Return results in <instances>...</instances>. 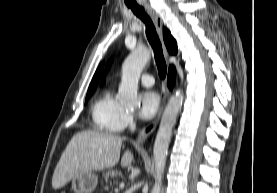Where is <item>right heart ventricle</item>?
Returning <instances> with one entry per match:
<instances>
[{"label": "right heart ventricle", "instance_id": "obj_1", "mask_svg": "<svg viewBox=\"0 0 277 193\" xmlns=\"http://www.w3.org/2000/svg\"><path fill=\"white\" fill-rule=\"evenodd\" d=\"M124 112V107L113 97L111 91L106 90L91 108L93 127L100 132L117 133L123 129Z\"/></svg>", "mask_w": 277, "mask_h": 193}]
</instances>
